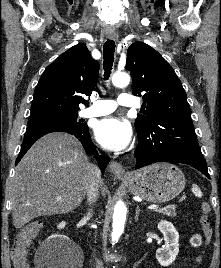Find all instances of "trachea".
Returning <instances> with one entry per match:
<instances>
[{
	"instance_id": "1",
	"label": "trachea",
	"mask_w": 221,
	"mask_h": 268,
	"mask_svg": "<svg viewBox=\"0 0 221 268\" xmlns=\"http://www.w3.org/2000/svg\"><path fill=\"white\" fill-rule=\"evenodd\" d=\"M114 52H115V42L113 40L107 39L103 45V68L105 80H108L111 74L113 62H114Z\"/></svg>"
}]
</instances>
